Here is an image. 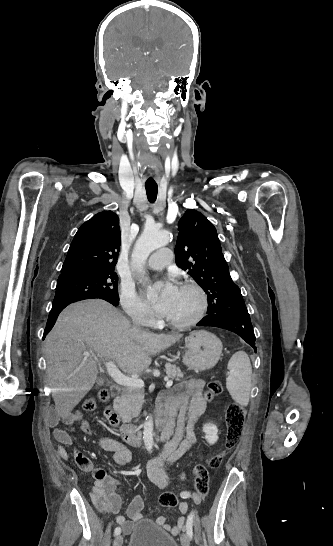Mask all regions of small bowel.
I'll return each mask as SVG.
<instances>
[{
	"instance_id": "small-bowel-1",
	"label": "small bowel",
	"mask_w": 333,
	"mask_h": 546,
	"mask_svg": "<svg viewBox=\"0 0 333 546\" xmlns=\"http://www.w3.org/2000/svg\"><path fill=\"white\" fill-rule=\"evenodd\" d=\"M204 382L201 379H190L179 385L175 394H163L158 400V413L167 420V429L162 441H166L164 448L149 465L151 480L159 487H167L173 477L169 474L172 464L188 453L196 443L194 426L198 418L206 408V400L203 397ZM64 423L73 421L81 422V429L86 434H92L88 422L81 419V413L54 416L51 425L54 428V437L57 442L56 452L64 460L69 459V453L65 447L71 446L72 438L64 430L56 427L57 421ZM100 447L112 453L114 461L120 465L130 463L131 451L123 443L110 438L103 437L99 441ZM73 457L77 465L85 472L90 473L95 479L90 493L91 500L98 511L102 514H115L119 511L121 500L115 491V482L105 476L102 470L93 468L91 461L77 449L73 451ZM180 478L181 476L178 475ZM184 498L197 502L195 495L183 492ZM145 506V499L142 495L136 496L128 506L127 518L123 515L116 517V523L123 528L125 533L133 529V525L142 519V510ZM180 511L184 516L180 517L175 525L166 522L167 518L161 516L156 523L172 535H178L185 528L186 519L191 512L186 503L180 504Z\"/></svg>"
}]
</instances>
